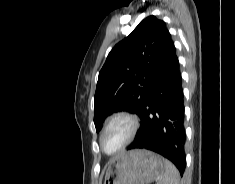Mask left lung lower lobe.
<instances>
[{"label":"left lung lower lobe","mask_w":235,"mask_h":184,"mask_svg":"<svg viewBox=\"0 0 235 184\" xmlns=\"http://www.w3.org/2000/svg\"><path fill=\"white\" fill-rule=\"evenodd\" d=\"M181 74L176 49L167 37L140 111L141 128L127 148L148 149L169 159L183 174L185 130Z\"/></svg>","instance_id":"left-lung-lower-lobe-1"}]
</instances>
